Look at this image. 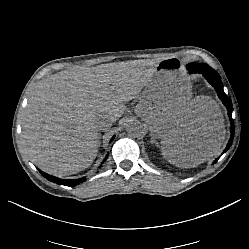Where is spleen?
<instances>
[{
    "mask_svg": "<svg viewBox=\"0 0 249 249\" xmlns=\"http://www.w3.org/2000/svg\"><path fill=\"white\" fill-rule=\"evenodd\" d=\"M161 151H162V154H163L164 157L168 156V151H169L168 146L163 145V146L161 147Z\"/></svg>",
    "mask_w": 249,
    "mask_h": 249,
    "instance_id": "1",
    "label": "spleen"
}]
</instances>
